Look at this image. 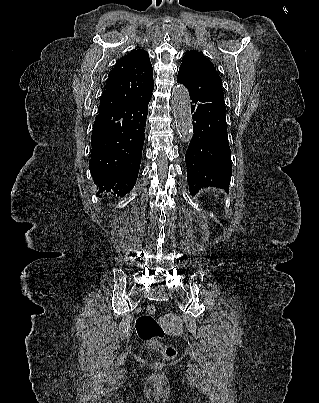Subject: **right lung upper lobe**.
I'll return each mask as SVG.
<instances>
[{"label":"right lung upper lobe","mask_w":319,"mask_h":403,"mask_svg":"<svg viewBox=\"0 0 319 403\" xmlns=\"http://www.w3.org/2000/svg\"><path fill=\"white\" fill-rule=\"evenodd\" d=\"M153 69L148 53L136 49L122 57L112 69L98 112L121 107L152 95Z\"/></svg>","instance_id":"right-lung-upper-lobe-1"}]
</instances>
